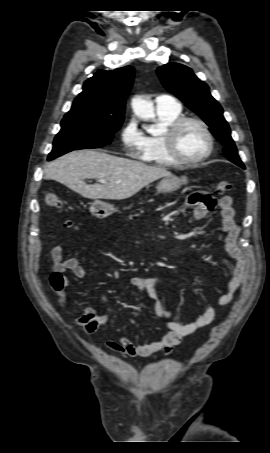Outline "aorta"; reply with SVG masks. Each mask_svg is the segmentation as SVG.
Wrapping results in <instances>:
<instances>
[{"instance_id": "obj_1", "label": "aorta", "mask_w": 270, "mask_h": 453, "mask_svg": "<svg viewBox=\"0 0 270 453\" xmlns=\"http://www.w3.org/2000/svg\"><path fill=\"white\" fill-rule=\"evenodd\" d=\"M134 114L142 120H150L155 117L154 106L152 102L141 96H136L131 102ZM148 132L154 133V129H148Z\"/></svg>"}]
</instances>
